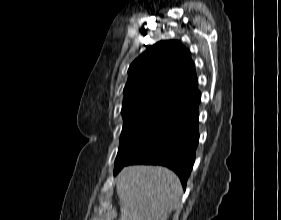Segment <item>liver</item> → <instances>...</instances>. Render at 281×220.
<instances>
[{
  "instance_id": "6515ba94",
  "label": "liver",
  "mask_w": 281,
  "mask_h": 220,
  "mask_svg": "<svg viewBox=\"0 0 281 220\" xmlns=\"http://www.w3.org/2000/svg\"><path fill=\"white\" fill-rule=\"evenodd\" d=\"M119 220H168L182 186L178 176L162 166L124 167L117 176Z\"/></svg>"
}]
</instances>
